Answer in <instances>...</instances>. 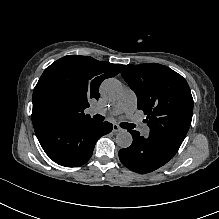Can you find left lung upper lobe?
Segmentation results:
<instances>
[{
    "label": "left lung upper lobe",
    "instance_id": "left-lung-upper-lobe-1",
    "mask_svg": "<svg viewBox=\"0 0 219 219\" xmlns=\"http://www.w3.org/2000/svg\"><path fill=\"white\" fill-rule=\"evenodd\" d=\"M121 74L136 93L138 109L150 136L179 150L191 125L193 98L187 81L172 69L157 63L124 65Z\"/></svg>",
    "mask_w": 219,
    "mask_h": 219
}]
</instances>
